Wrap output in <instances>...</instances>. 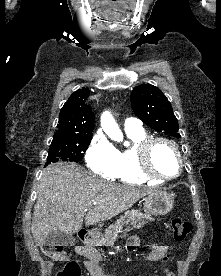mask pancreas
<instances>
[{
  "instance_id": "1",
  "label": "pancreas",
  "mask_w": 221,
  "mask_h": 276,
  "mask_svg": "<svg viewBox=\"0 0 221 276\" xmlns=\"http://www.w3.org/2000/svg\"><path fill=\"white\" fill-rule=\"evenodd\" d=\"M148 220H152L150 215L138 212L137 210L126 211L123 216L106 230L104 235L99 239L98 245L113 246L117 233L121 231L123 225L130 224L132 228H141Z\"/></svg>"
}]
</instances>
